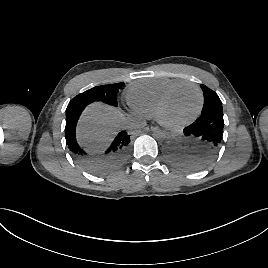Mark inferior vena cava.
Wrapping results in <instances>:
<instances>
[{"instance_id":"obj_1","label":"inferior vena cava","mask_w":268,"mask_h":268,"mask_svg":"<svg viewBox=\"0 0 268 268\" xmlns=\"http://www.w3.org/2000/svg\"><path fill=\"white\" fill-rule=\"evenodd\" d=\"M123 124H124L126 127H128V125L130 124V120L125 119Z\"/></svg>"}]
</instances>
